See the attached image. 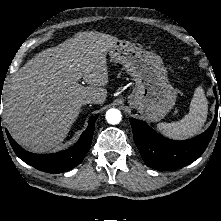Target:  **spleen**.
<instances>
[{
  "label": "spleen",
  "instance_id": "3e777b00",
  "mask_svg": "<svg viewBox=\"0 0 221 221\" xmlns=\"http://www.w3.org/2000/svg\"><path fill=\"white\" fill-rule=\"evenodd\" d=\"M208 114V103L202 87L195 89L190 103L189 113L180 121L172 123H159L157 129L172 139H187L198 134Z\"/></svg>",
  "mask_w": 221,
  "mask_h": 221
}]
</instances>
